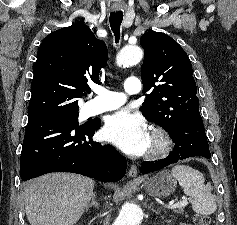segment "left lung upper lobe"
I'll return each mask as SVG.
<instances>
[{
    "label": "left lung upper lobe",
    "mask_w": 237,
    "mask_h": 225,
    "mask_svg": "<svg viewBox=\"0 0 237 225\" xmlns=\"http://www.w3.org/2000/svg\"><path fill=\"white\" fill-rule=\"evenodd\" d=\"M140 44L145 56L141 66L143 92L150 91L140 110L168 132L199 111L192 65L182 47L164 33H145Z\"/></svg>",
    "instance_id": "obj_1"
}]
</instances>
